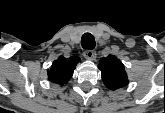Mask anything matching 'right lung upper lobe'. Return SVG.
<instances>
[{
    "instance_id": "right-lung-upper-lobe-1",
    "label": "right lung upper lobe",
    "mask_w": 165,
    "mask_h": 113,
    "mask_svg": "<svg viewBox=\"0 0 165 113\" xmlns=\"http://www.w3.org/2000/svg\"><path fill=\"white\" fill-rule=\"evenodd\" d=\"M75 65L74 57L66 59L60 56L53 62L51 69L48 71V79L59 84L67 82L73 74Z\"/></svg>"
}]
</instances>
